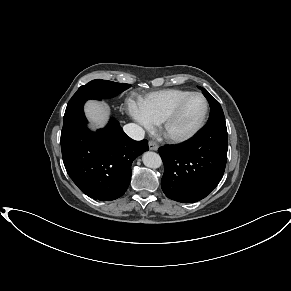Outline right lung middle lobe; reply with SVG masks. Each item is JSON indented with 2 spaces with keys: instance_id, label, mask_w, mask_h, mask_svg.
<instances>
[{
  "instance_id": "dd1d6c3e",
  "label": "right lung middle lobe",
  "mask_w": 291,
  "mask_h": 291,
  "mask_svg": "<svg viewBox=\"0 0 291 291\" xmlns=\"http://www.w3.org/2000/svg\"><path fill=\"white\" fill-rule=\"evenodd\" d=\"M129 84L106 80H93L81 86L70 99L64 119H78L83 112V105L88 99L112 98L128 89Z\"/></svg>"
}]
</instances>
